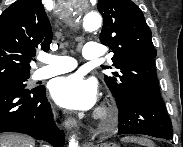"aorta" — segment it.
<instances>
[{
    "label": "aorta",
    "instance_id": "obj_1",
    "mask_svg": "<svg viewBox=\"0 0 183 147\" xmlns=\"http://www.w3.org/2000/svg\"><path fill=\"white\" fill-rule=\"evenodd\" d=\"M83 28L86 31H95L100 28L102 18L97 12H89L83 17ZM69 147H78V142L72 137L69 141Z\"/></svg>",
    "mask_w": 183,
    "mask_h": 147
}]
</instances>
